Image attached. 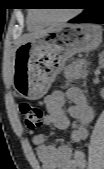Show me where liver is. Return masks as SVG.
Returning <instances> with one entry per match:
<instances>
[{
	"instance_id": "obj_1",
	"label": "liver",
	"mask_w": 104,
	"mask_h": 169,
	"mask_svg": "<svg viewBox=\"0 0 104 169\" xmlns=\"http://www.w3.org/2000/svg\"><path fill=\"white\" fill-rule=\"evenodd\" d=\"M50 30V29H48ZM48 30H44V31H40V32H36V33H31V34H28V35H25L23 36L17 43V46H20L21 44L29 41V40H32L42 34H44L45 32H47Z\"/></svg>"
}]
</instances>
